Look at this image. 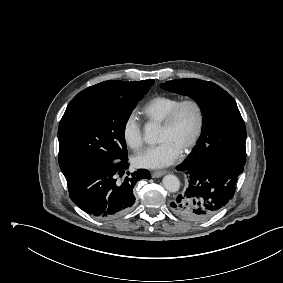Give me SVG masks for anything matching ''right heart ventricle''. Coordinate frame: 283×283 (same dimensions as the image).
<instances>
[{
    "label": "right heart ventricle",
    "instance_id": "right-heart-ventricle-1",
    "mask_svg": "<svg viewBox=\"0 0 283 283\" xmlns=\"http://www.w3.org/2000/svg\"><path fill=\"white\" fill-rule=\"evenodd\" d=\"M179 101L178 97L159 95L150 99L140 112L148 122L162 124Z\"/></svg>",
    "mask_w": 283,
    "mask_h": 283
}]
</instances>
